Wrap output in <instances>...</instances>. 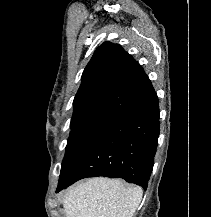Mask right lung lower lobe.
Listing matches in <instances>:
<instances>
[{
	"instance_id": "obj_1",
	"label": "right lung lower lobe",
	"mask_w": 211,
	"mask_h": 217,
	"mask_svg": "<svg viewBox=\"0 0 211 217\" xmlns=\"http://www.w3.org/2000/svg\"><path fill=\"white\" fill-rule=\"evenodd\" d=\"M158 97L154 89L111 121L59 180L57 192L95 176L123 178L147 188L160 133Z\"/></svg>"
}]
</instances>
